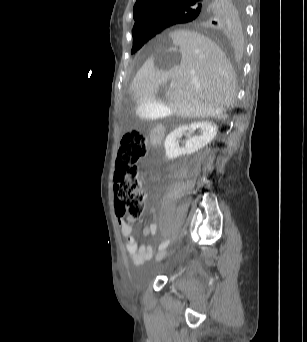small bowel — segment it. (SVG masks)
Returning a JSON list of instances; mask_svg holds the SVG:
<instances>
[{"label":"small bowel","mask_w":307,"mask_h":342,"mask_svg":"<svg viewBox=\"0 0 307 342\" xmlns=\"http://www.w3.org/2000/svg\"><path fill=\"white\" fill-rule=\"evenodd\" d=\"M149 212L151 215H154V209L150 208ZM134 222V220L130 219L128 221L124 220L123 218L118 219V225L122 235L125 238L126 242V250L131 257L132 263L135 266L142 265L145 261L151 259L153 255V245L151 243L144 244L138 246L135 236L132 234V228L130 223ZM144 234L146 236H154L157 232V225L154 220L145 227Z\"/></svg>","instance_id":"small-bowel-1"}]
</instances>
